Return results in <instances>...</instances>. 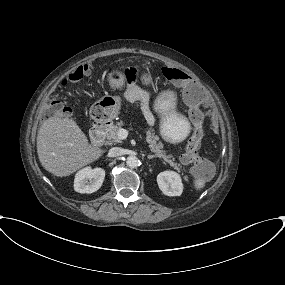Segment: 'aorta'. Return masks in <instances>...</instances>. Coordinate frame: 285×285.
Here are the masks:
<instances>
[{
	"label": "aorta",
	"instance_id": "1",
	"mask_svg": "<svg viewBox=\"0 0 285 285\" xmlns=\"http://www.w3.org/2000/svg\"><path fill=\"white\" fill-rule=\"evenodd\" d=\"M138 163H139V160H138V158H137L136 156L131 155V156H128V157L126 158V164H127V166L130 167V168H135V167H137V166H138Z\"/></svg>",
	"mask_w": 285,
	"mask_h": 285
}]
</instances>
